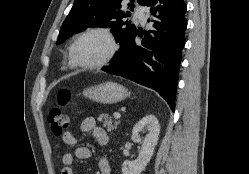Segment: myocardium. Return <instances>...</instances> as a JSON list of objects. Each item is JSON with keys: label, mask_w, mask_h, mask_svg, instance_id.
<instances>
[{"label": "myocardium", "mask_w": 249, "mask_h": 174, "mask_svg": "<svg viewBox=\"0 0 249 174\" xmlns=\"http://www.w3.org/2000/svg\"><path fill=\"white\" fill-rule=\"evenodd\" d=\"M93 33H99L102 34L108 41L109 43V51L107 55L100 61L96 63H84L82 62L78 55H77V47L79 42L87 35L93 34ZM118 51V42L116 40L115 35L113 32L104 26H94L86 29L84 32H82L73 42L72 47H71V54L72 58L76 64V66L84 68V69H98L101 68L105 65H107L116 55Z\"/></svg>", "instance_id": "1"}]
</instances>
